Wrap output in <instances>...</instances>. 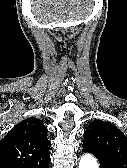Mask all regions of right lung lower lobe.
Segmentation results:
<instances>
[{"instance_id": "98d812e1", "label": "right lung lower lobe", "mask_w": 127, "mask_h": 168, "mask_svg": "<svg viewBox=\"0 0 127 168\" xmlns=\"http://www.w3.org/2000/svg\"><path fill=\"white\" fill-rule=\"evenodd\" d=\"M49 163H50V160L44 164V165H41V166H34V165H11V166H6L4 168H49Z\"/></svg>"}]
</instances>
